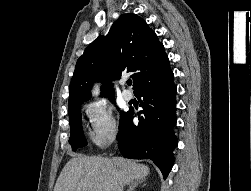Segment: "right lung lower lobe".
Returning <instances> with one entry per match:
<instances>
[{"label":"right lung lower lobe","mask_w":251,"mask_h":191,"mask_svg":"<svg viewBox=\"0 0 251 191\" xmlns=\"http://www.w3.org/2000/svg\"><path fill=\"white\" fill-rule=\"evenodd\" d=\"M174 75L139 88L134 94L144 102L138 113L139 123H133V110L119 126L118 147L122 155L132 159L153 161L166 178L173 166V150L177 147L176 92Z\"/></svg>","instance_id":"98d812e1"}]
</instances>
